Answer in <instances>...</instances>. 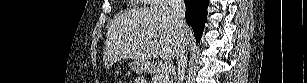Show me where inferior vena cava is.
<instances>
[{
    "label": "inferior vena cava",
    "mask_w": 307,
    "mask_h": 83,
    "mask_svg": "<svg viewBox=\"0 0 307 83\" xmlns=\"http://www.w3.org/2000/svg\"><path fill=\"white\" fill-rule=\"evenodd\" d=\"M170 6L173 16L176 19L180 34V47L176 56L178 62L176 83H183L187 64V44L185 36V28L187 27V24L185 22V3L184 0H170Z\"/></svg>",
    "instance_id": "inferior-vena-cava-1"
}]
</instances>
